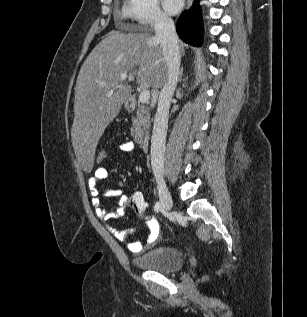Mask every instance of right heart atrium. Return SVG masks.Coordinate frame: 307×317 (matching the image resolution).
<instances>
[{"label":"right heart atrium","mask_w":307,"mask_h":317,"mask_svg":"<svg viewBox=\"0 0 307 317\" xmlns=\"http://www.w3.org/2000/svg\"><path fill=\"white\" fill-rule=\"evenodd\" d=\"M126 14L143 26L159 27L170 22L158 0H128Z\"/></svg>","instance_id":"right-heart-atrium-1"}]
</instances>
